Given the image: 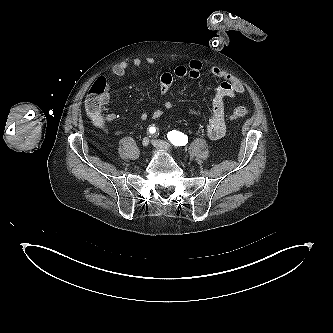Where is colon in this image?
<instances>
[{"mask_svg":"<svg viewBox=\"0 0 333 333\" xmlns=\"http://www.w3.org/2000/svg\"><path fill=\"white\" fill-rule=\"evenodd\" d=\"M106 81L98 78L91 86L85 100V110L91 120H98L103 116L105 106ZM249 114L245 106H238L232 111V119H243Z\"/></svg>","mask_w":333,"mask_h":333,"instance_id":"colon-1","label":"colon"}]
</instances>
